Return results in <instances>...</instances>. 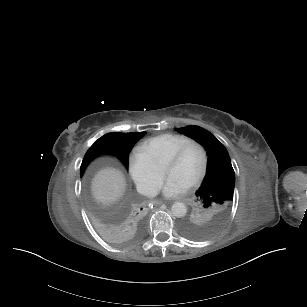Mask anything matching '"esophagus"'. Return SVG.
Wrapping results in <instances>:
<instances>
[{"label":"esophagus","instance_id":"esophagus-1","mask_svg":"<svg viewBox=\"0 0 307 307\" xmlns=\"http://www.w3.org/2000/svg\"><path fill=\"white\" fill-rule=\"evenodd\" d=\"M154 203H155V205H161V204H163V202L160 201V200H155Z\"/></svg>","mask_w":307,"mask_h":307}]
</instances>
